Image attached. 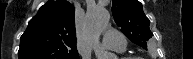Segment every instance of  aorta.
Here are the masks:
<instances>
[{
	"label": "aorta",
	"mask_w": 193,
	"mask_h": 59,
	"mask_svg": "<svg viewBox=\"0 0 193 59\" xmlns=\"http://www.w3.org/2000/svg\"><path fill=\"white\" fill-rule=\"evenodd\" d=\"M109 19L110 14L108 10L104 8L90 9L86 14L84 24L85 32L88 37L97 42L100 34L107 26ZM95 53L98 59H116V56L114 54L106 51L96 50Z\"/></svg>",
	"instance_id": "obj_1"
}]
</instances>
